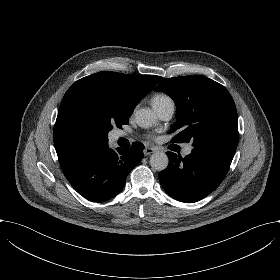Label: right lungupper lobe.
Returning a JSON list of instances; mask_svg holds the SVG:
<instances>
[{
    "mask_svg": "<svg viewBox=\"0 0 280 280\" xmlns=\"http://www.w3.org/2000/svg\"><path fill=\"white\" fill-rule=\"evenodd\" d=\"M161 79L101 71L76 81L64 95L54 125V145L61 167L93 147L108 144L106 121L129 118Z\"/></svg>",
    "mask_w": 280,
    "mask_h": 280,
    "instance_id": "1",
    "label": "right lung upper lobe"
}]
</instances>
